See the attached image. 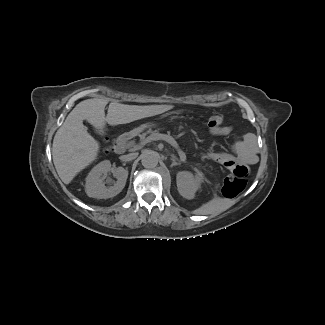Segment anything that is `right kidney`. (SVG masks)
<instances>
[{"label":"right kidney","mask_w":325,"mask_h":325,"mask_svg":"<svg viewBox=\"0 0 325 325\" xmlns=\"http://www.w3.org/2000/svg\"><path fill=\"white\" fill-rule=\"evenodd\" d=\"M111 163L109 160H105L97 164L89 173L86 178V193L89 197L98 199H107L119 194L125 187L128 177V171L123 167L115 169L113 175L117 179L108 180L109 186H105L103 182L107 173L110 171Z\"/></svg>","instance_id":"obj_1"}]
</instances>
